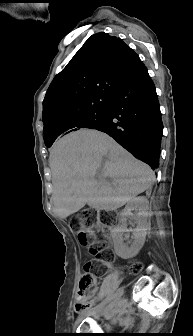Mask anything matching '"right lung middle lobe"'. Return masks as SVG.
<instances>
[{
	"label": "right lung middle lobe",
	"mask_w": 193,
	"mask_h": 336,
	"mask_svg": "<svg viewBox=\"0 0 193 336\" xmlns=\"http://www.w3.org/2000/svg\"><path fill=\"white\" fill-rule=\"evenodd\" d=\"M108 110L107 108L95 110L80 116L75 120L73 125V131L79 130L81 128L89 129H101L107 122ZM45 144L47 147H51L55 139L48 138L45 139Z\"/></svg>",
	"instance_id": "dd1d6c3e"
}]
</instances>
